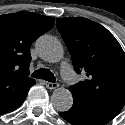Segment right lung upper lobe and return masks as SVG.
Segmentation results:
<instances>
[{"label":"right lung upper lobe","instance_id":"obj_1","mask_svg":"<svg viewBox=\"0 0 125 125\" xmlns=\"http://www.w3.org/2000/svg\"><path fill=\"white\" fill-rule=\"evenodd\" d=\"M54 22L30 12L0 15V96L35 84L29 77L30 46Z\"/></svg>","mask_w":125,"mask_h":125}]
</instances>
